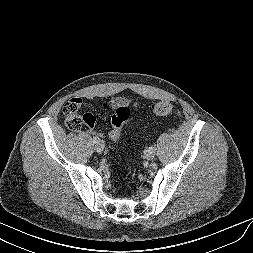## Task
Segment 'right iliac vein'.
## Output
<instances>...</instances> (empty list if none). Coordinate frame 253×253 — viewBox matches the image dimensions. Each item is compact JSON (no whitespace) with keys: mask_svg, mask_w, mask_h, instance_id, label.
Masks as SVG:
<instances>
[{"mask_svg":"<svg viewBox=\"0 0 253 253\" xmlns=\"http://www.w3.org/2000/svg\"><path fill=\"white\" fill-rule=\"evenodd\" d=\"M104 148H105V144L102 141L95 144V150L97 152H102L104 150Z\"/></svg>","mask_w":253,"mask_h":253,"instance_id":"63e3f726","label":"right iliac vein"}]
</instances>
